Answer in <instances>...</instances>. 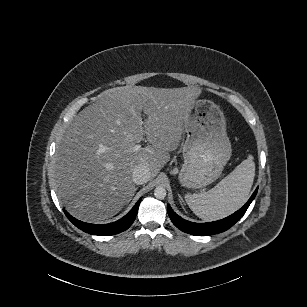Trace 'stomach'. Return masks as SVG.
<instances>
[{
	"label": "stomach",
	"instance_id": "0dacf381",
	"mask_svg": "<svg viewBox=\"0 0 307 307\" xmlns=\"http://www.w3.org/2000/svg\"><path fill=\"white\" fill-rule=\"evenodd\" d=\"M187 139L180 180L186 187L202 188L221 174L231 156L223 111L210 99H196L184 120Z\"/></svg>",
	"mask_w": 307,
	"mask_h": 307
}]
</instances>
